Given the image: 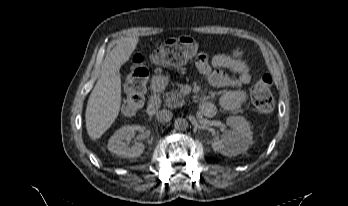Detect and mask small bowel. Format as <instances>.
I'll return each instance as SVG.
<instances>
[{"label":"small bowel","mask_w":348,"mask_h":206,"mask_svg":"<svg viewBox=\"0 0 348 206\" xmlns=\"http://www.w3.org/2000/svg\"><path fill=\"white\" fill-rule=\"evenodd\" d=\"M196 66L198 71L208 78L212 86L231 88L220 97L222 107L233 110L246 100L244 87L250 82L251 73L238 48H234L227 54H217L211 59L206 53H201L196 60ZM227 71L236 76H230Z\"/></svg>","instance_id":"c3829d8e"}]
</instances>
